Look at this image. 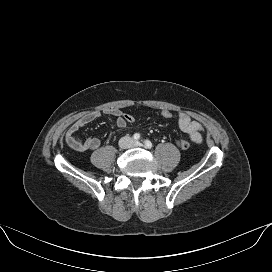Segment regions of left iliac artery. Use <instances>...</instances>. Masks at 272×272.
Masks as SVG:
<instances>
[{"mask_svg":"<svg viewBox=\"0 0 272 272\" xmlns=\"http://www.w3.org/2000/svg\"><path fill=\"white\" fill-rule=\"evenodd\" d=\"M144 144H145V147H146V148H149V149L152 148V143H151V141L145 140Z\"/></svg>","mask_w":272,"mask_h":272,"instance_id":"obj_1","label":"left iliac artery"}]
</instances>
